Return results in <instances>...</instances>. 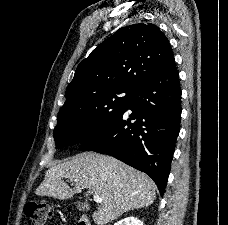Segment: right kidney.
Returning <instances> with one entry per match:
<instances>
[{"mask_svg":"<svg viewBox=\"0 0 228 225\" xmlns=\"http://www.w3.org/2000/svg\"><path fill=\"white\" fill-rule=\"evenodd\" d=\"M115 225H144L143 221H139L137 217H126V219H121L117 221Z\"/></svg>","mask_w":228,"mask_h":225,"instance_id":"1","label":"right kidney"}]
</instances>
